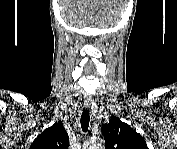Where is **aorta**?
<instances>
[{
	"label": "aorta",
	"mask_w": 177,
	"mask_h": 149,
	"mask_svg": "<svg viewBox=\"0 0 177 149\" xmlns=\"http://www.w3.org/2000/svg\"><path fill=\"white\" fill-rule=\"evenodd\" d=\"M103 148V142L101 139H95L91 141L85 149H102Z\"/></svg>",
	"instance_id": "1"
}]
</instances>
